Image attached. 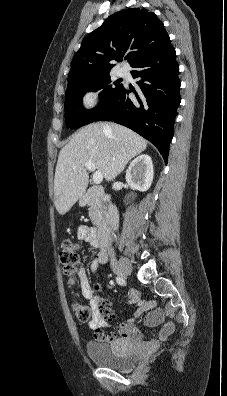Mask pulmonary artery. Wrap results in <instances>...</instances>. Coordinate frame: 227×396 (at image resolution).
Returning a JSON list of instances; mask_svg holds the SVG:
<instances>
[{"label": "pulmonary artery", "instance_id": "e3ab8cb5", "mask_svg": "<svg viewBox=\"0 0 227 396\" xmlns=\"http://www.w3.org/2000/svg\"><path fill=\"white\" fill-rule=\"evenodd\" d=\"M125 74H126V72L123 69H120L118 71V75L121 76V77L125 76Z\"/></svg>", "mask_w": 227, "mask_h": 396}]
</instances>
